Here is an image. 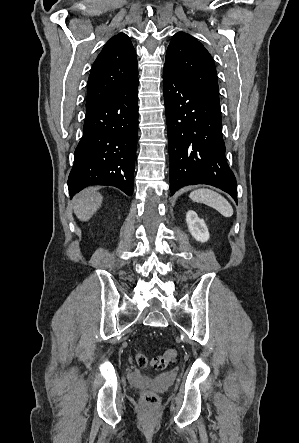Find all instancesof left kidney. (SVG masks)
Here are the masks:
<instances>
[{
    "instance_id": "obj_1",
    "label": "left kidney",
    "mask_w": 299,
    "mask_h": 443,
    "mask_svg": "<svg viewBox=\"0 0 299 443\" xmlns=\"http://www.w3.org/2000/svg\"><path fill=\"white\" fill-rule=\"evenodd\" d=\"M186 222L189 232L199 242H206L209 239L208 228L203 219L199 218L197 213L189 210L186 214Z\"/></svg>"
}]
</instances>
